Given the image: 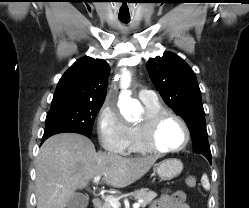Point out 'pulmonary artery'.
Here are the masks:
<instances>
[{"label":"pulmonary artery","instance_id":"obj_1","mask_svg":"<svg viewBox=\"0 0 249 208\" xmlns=\"http://www.w3.org/2000/svg\"><path fill=\"white\" fill-rule=\"evenodd\" d=\"M138 97L144 104L156 105L158 103L155 93L150 90H141Z\"/></svg>","mask_w":249,"mask_h":208}]
</instances>
